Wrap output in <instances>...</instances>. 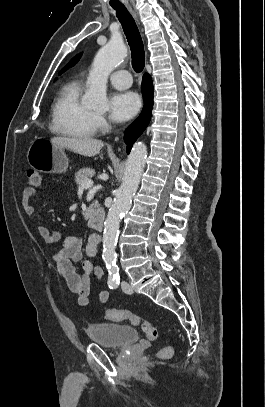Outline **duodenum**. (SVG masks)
<instances>
[{"label": "duodenum", "instance_id": "duodenum-1", "mask_svg": "<svg viewBox=\"0 0 265 407\" xmlns=\"http://www.w3.org/2000/svg\"><path fill=\"white\" fill-rule=\"evenodd\" d=\"M105 215L103 210L98 209L91 213L88 218V224L91 228L101 231L104 226Z\"/></svg>", "mask_w": 265, "mask_h": 407}]
</instances>
